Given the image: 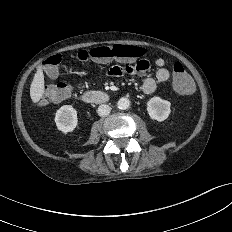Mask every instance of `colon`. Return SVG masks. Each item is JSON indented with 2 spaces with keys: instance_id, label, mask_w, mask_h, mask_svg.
<instances>
[{
  "instance_id": "5ec220e1",
  "label": "colon",
  "mask_w": 232,
  "mask_h": 232,
  "mask_svg": "<svg viewBox=\"0 0 232 232\" xmlns=\"http://www.w3.org/2000/svg\"><path fill=\"white\" fill-rule=\"evenodd\" d=\"M144 54L145 49L139 46L103 45L89 50H81L74 56V59L77 62L90 60L102 63L110 60H118L128 63L136 62L137 64ZM60 62L61 55L59 54L51 55L45 60L44 71L49 78L58 75V65ZM173 87L176 92L182 95H187L193 90V81L180 62H176L173 65ZM71 90V85L66 82L46 86L45 94L39 104L45 105L51 101L63 100L70 95Z\"/></svg>"
}]
</instances>
